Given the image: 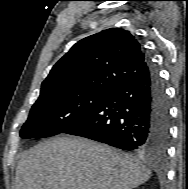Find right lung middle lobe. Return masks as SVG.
<instances>
[{"mask_svg":"<svg viewBox=\"0 0 188 189\" xmlns=\"http://www.w3.org/2000/svg\"><path fill=\"white\" fill-rule=\"evenodd\" d=\"M111 91L109 88H92L39 96L20 136L45 138L63 133L83 120Z\"/></svg>","mask_w":188,"mask_h":189,"instance_id":"dd1d6c3e","label":"right lung middle lobe"}]
</instances>
